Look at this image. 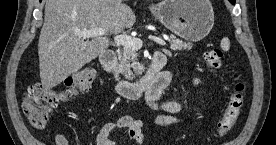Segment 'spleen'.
<instances>
[{
	"label": "spleen",
	"mask_w": 276,
	"mask_h": 145,
	"mask_svg": "<svg viewBox=\"0 0 276 145\" xmlns=\"http://www.w3.org/2000/svg\"><path fill=\"white\" fill-rule=\"evenodd\" d=\"M229 47H230V41L227 37H224L222 40H221V48L225 51L229 50Z\"/></svg>",
	"instance_id": "3e777b00"
}]
</instances>
